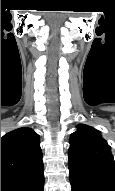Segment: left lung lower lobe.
Wrapping results in <instances>:
<instances>
[{
	"label": "left lung lower lobe",
	"mask_w": 115,
	"mask_h": 191,
	"mask_svg": "<svg viewBox=\"0 0 115 191\" xmlns=\"http://www.w3.org/2000/svg\"><path fill=\"white\" fill-rule=\"evenodd\" d=\"M72 191H115V178L104 173L69 165Z\"/></svg>",
	"instance_id": "left-lung-lower-lobe-1"
}]
</instances>
